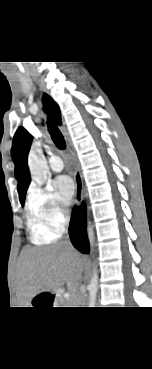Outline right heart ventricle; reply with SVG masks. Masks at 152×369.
Returning <instances> with one entry per match:
<instances>
[{
	"label": "right heart ventricle",
	"instance_id": "obj_1",
	"mask_svg": "<svg viewBox=\"0 0 152 369\" xmlns=\"http://www.w3.org/2000/svg\"><path fill=\"white\" fill-rule=\"evenodd\" d=\"M27 223L32 237L36 241L45 242L53 240L57 237V235H52L48 233L43 224L33 215V213L29 209Z\"/></svg>",
	"mask_w": 152,
	"mask_h": 369
}]
</instances>
